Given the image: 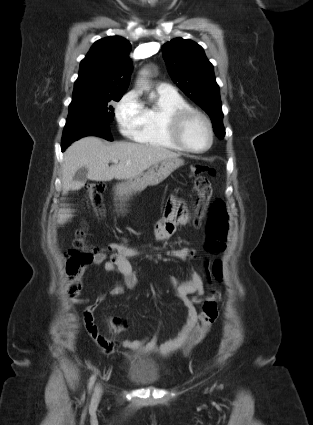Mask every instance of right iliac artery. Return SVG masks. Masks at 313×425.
I'll return each instance as SVG.
<instances>
[{"label": "right iliac artery", "mask_w": 313, "mask_h": 425, "mask_svg": "<svg viewBox=\"0 0 313 425\" xmlns=\"http://www.w3.org/2000/svg\"><path fill=\"white\" fill-rule=\"evenodd\" d=\"M95 379H96V375H92L91 378H90L89 386H88L89 390L92 389V386L95 382Z\"/></svg>", "instance_id": "obj_1"}]
</instances>
